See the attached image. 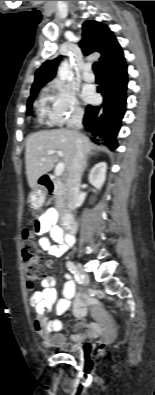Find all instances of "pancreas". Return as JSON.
I'll use <instances>...</instances> for the list:
<instances>
[{
  "label": "pancreas",
  "mask_w": 155,
  "mask_h": 395,
  "mask_svg": "<svg viewBox=\"0 0 155 395\" xmlns=\"http://www.w3.org/2000/svg\"><path fill=\"white\" fill-rule=\"evenodd\" d=\"M54 199H55V205L56 208L63 210L65 212V189L63 184L60 182V180L56 179L54 180Z\"/></svg>",
  "instance_id": "1"
}]
</instances>
